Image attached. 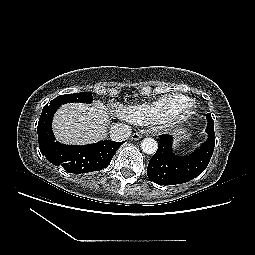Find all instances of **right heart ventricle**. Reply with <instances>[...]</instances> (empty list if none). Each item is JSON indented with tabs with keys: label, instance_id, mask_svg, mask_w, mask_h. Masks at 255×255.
I'll return each mask as SVG.
<instances>
[{
	"label": "right heart ventricle",
	"instance_id": "e07e8e85",
	"mask_svg": "<svg viewBox=\"0 0 255 255\" xmlns=\"http://www.w3.org/2000/svg\"><path fill=\"white\" fill-rule=\"evenodd\" d=\"M193 100L184 94H166L153 101L129 106L123 112V117L136 125L158 123L173 105H187Z\"/></svg>",
	"mask_w": 255,
	"mask_h": 255
}]
</instances>
